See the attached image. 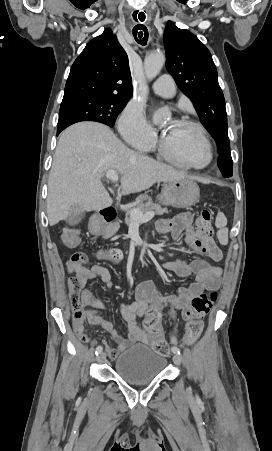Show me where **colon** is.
I'll use <instances>...</instances> for the list:
<instances>
[{"label":"colon","mask_w":272,"mask_h":451,"mask_svg":"<svg viewBox=\"0 0 272 451\" xmlns=\"http://www.w3.org/2000/svg\"><path fill=\"white\" fill-rule=\"evenodd\" d=\"M196 224L200 231V238L205 239L204 247L208 250H215L216 245L210 240L213 234V227L211 225V213L209 210L204 209L196 220ZM79 228L75 225H69L64 227L62 231V239L65 241V246L67 250H79L80 242H79ZM108 255L113 260H120L122 258V253L120 250L114 249L108 252ZM87 262V254L82 251H75L70 254L69 264L71 265L72 270H79L81 265H84ZM217 301V293L210 292L207 294H202L193 298L190 303V306L183 310V317L188 322V336L195 337L197 336L202 329V319L205 314H207L214 303ZM74 317L76 319V331L78 336L86 341L87 337L84 332H82L83 328L79 323L81 314L80 312L75 313ZM174 343V342H173ZM188 343V342H187ZM191 343V342H190ZM169 339L164 338H154L149 342V345L154 348V351L157 355H167L169 354Z\"/></svg>","instance_id":"colon-1"}]
</instances>
